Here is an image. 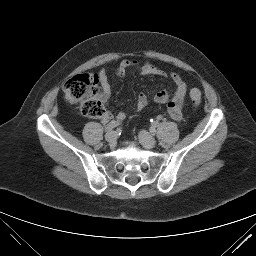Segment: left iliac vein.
I'll return each instance as SVG.
<instances>
[{
  "mask_svg": "<svg viewBox=\"0 0 256 256\" xmlns=\"http://www.w3.org/2000/svg\"><path fill=\"white\" fill-rule=\"evenodd\" d=\"M138 138L142 145L147 149H151L156 146V140L153 138L151 134H149L146 131H140L138 134Z\"/></svg>",
  "mask_w": 256,
  "mask_h": 256,
  "instance_id": "1",
  "label": "left iliac vein"
}]
</instances>
